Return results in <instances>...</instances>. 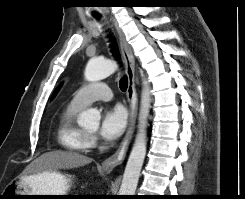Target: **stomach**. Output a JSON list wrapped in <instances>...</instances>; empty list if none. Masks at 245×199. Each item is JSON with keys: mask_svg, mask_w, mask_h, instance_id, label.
Returning <instances> with one entry per match:
<instances>
[{"mask_svg": "<svg viewBox=\"0 0 245 199\" xmlns=\"http://www.w3.org/2000/svg\"><path fill=\"white\" fill-rule=\"evenodd\" d=\"M72 184L71 175L63 174L58 171H45L34 176L20 178L11 182L10 196L14 199H33V196H14V195H68L66 194ZM45 197V196H44ZM43 198V196L39 197ZM61 198V197H52Z\"/></svg>", "mask_w": 245, "mask_h": 199, "instance_id": "1", "label": "stomach"}]
</instances>
